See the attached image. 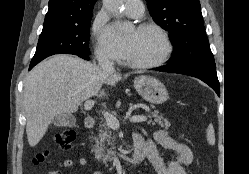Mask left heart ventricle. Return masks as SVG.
I'll return each instance as SVG.
<instances>
[{
	"label": "left heart ventricle",
	"instance_id": "1",
	"mask_svg": "<svg viewBox=\"0 0 249 174\" xmlns=\"http://www.w3.org/2000/svg\"><path fill=\"white\" fill-rule=\"evenodd\" d=\"M129 48L126 59L132 62H152L160 59L165 51L166 44L161 35L154 30H131L125 37Z\"/></svg>",
	"mask_w": 249,
	"mask_h": 174
}]
</instances>
